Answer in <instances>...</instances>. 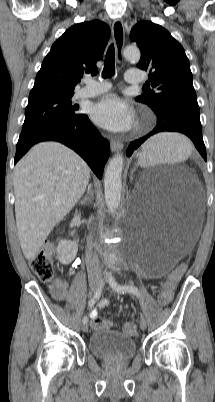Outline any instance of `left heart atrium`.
Returning a JSON list of instances; mask_svg holds the SVG:
<instances>
[{
    "label": "left heart atrium",
    "mask_w": 215,
    "mask_h": 402,
    "mask_svg": "<svg viewBox=\"0 0 215 402\" xmlns=\"http://www.w3.org/2000/svg\"><path fill=\"white\" fill-rule=\"evenodd\" d=\"M91 115L98 125L115 132L125 131L133 124L132 108L115 94L100 99L93 106Z\"/></svg>",
    "instance_id": "obj_1"
}]
</instances>
